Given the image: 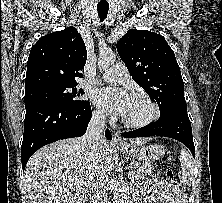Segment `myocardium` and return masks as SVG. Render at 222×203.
Segmentation results:
<instances>
[{"mask_svg": "<svg viewBox=\"0 0 222 203\" xmlns=\"http://www.w3.org/2000/svg\"><path fill=\"white\" fill-rule=\"evenodd\" d=\"M131 97L140 98V99L144 100L151 107L152 113L145 120L137 121V122L129 121V120L125 119L124 117H122V123L125 126L130 127V128L139 129V128L149 126L150 124H152L153 122H155L159 118V116H160L159 106L147 94L141 93V92H135V93L131 94Z\"/></svg>", "mask_w": 222, "mask_h": 203, "instance_id": "1", "label": "myocardium"}]
</instances>
